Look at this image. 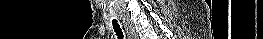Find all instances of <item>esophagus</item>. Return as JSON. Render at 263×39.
Here are the masks:
<instances>
[{"instance_id":"obj_1","label":"esophagus","mask_w":263,"mask_h":39,"mask_svg":"<svg viewBox=\"0 0 263 39\" xmlns=\"http://www.w3.org/2000/svg\"><path fill=\"white\" fill-rule=\"evenodd\" d=\"M124 26L128 39H138V34L136 33L134 27L128 20H124Z\"/></svg>"}]
</instances>
